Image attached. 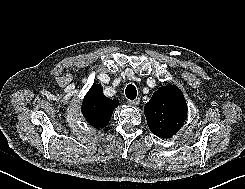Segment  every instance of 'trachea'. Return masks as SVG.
Listing matches in <instances>:
<instances>
[{"label": "trachea", "instance_id": "1", "mask_svg": "<svg viewBox=\"0 0 245 189\" xmlns=\"http://www.w3.org/2000/svg\"><path fill=\"white\" fill-rule=\"evenodd\" d=\"M125 94L126 97L130 100H134L137 96V90L136 87L132 84L127 85L126 89H125Z\"/></svg>", "mask_w": 245, "mask_h": 189}]
</instances>
